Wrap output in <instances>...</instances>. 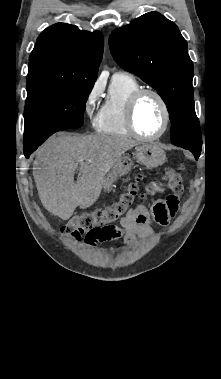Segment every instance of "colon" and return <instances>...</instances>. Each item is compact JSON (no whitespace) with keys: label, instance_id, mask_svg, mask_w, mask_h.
<instances>
[{"label":"colon","instance_id":"colon-1","mask_svg":"<svg viewBox=\"0 0 221 379\" xmlns=\"http://www.w3.org/2000/svg\"><path fill=\"white\" fill-rule=\"evenodd\" d=\"M180 170L169 168L165 172V180L170 190H183V180ZM138 177L130 182L119 198L110 206L85 212L72 217L61 228L62 235L80 240L83 235H101L112 229L115 223L126 216L137 194Z\"/></svg>","mask_w":221,"mask_h":379}]
</instances>
